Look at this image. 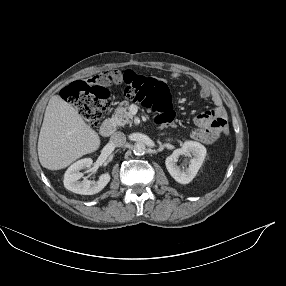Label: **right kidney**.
Instances as JSON below:
<instances>
[{
    "instance_id": "obj_1",
    "label": "right kidney",
    "mask_w": 286,
    "mask_h": 286,
    "mask_svg": "<svg viewBox=\"0 0 286 286\" xmlns=\"http://www.w3.org/2000/svg\"><path fill=\"white\" fill-rule=\"evenodd\" d=\"M93 164L91 158H84L73 163L65 172L64 187L73 193L81 195H93L100 192L110 181L109 173H104L99 177L98 181L84 179L80 170L89 168Z\"/></svg>"
}]
</instances>
